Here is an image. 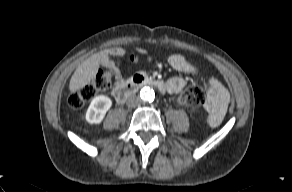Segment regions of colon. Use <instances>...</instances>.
<instances>
[{"label":"colon","instance_id":"obj_1","mask_svg":"<svg viewBox=\"0 0 292 192\" xmlns=\"http://www.w3.org/2000/svg\"><path fill=\"white\" fill-rule=\"evenodd\" d=\"M130 60L132 62L137 61V56L131 55ZM113 80H115L114 70L109 68L100 69L92 81L69 95L68 104L70 108L73 110L80 109L98 93L107 90ZM206 98L207 95L203 88L190 86L182 91L177 101L180 104L199 106L206 102Z\"/></svg>","mask_w":292,"mask_h":192}]
</instances>
